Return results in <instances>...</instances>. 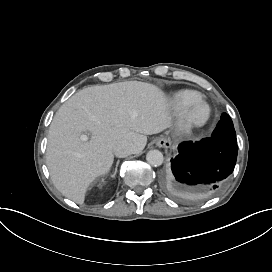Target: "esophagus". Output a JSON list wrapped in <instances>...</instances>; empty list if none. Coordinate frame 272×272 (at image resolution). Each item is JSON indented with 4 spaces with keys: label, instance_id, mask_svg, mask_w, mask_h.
I'll use <instances>...</instances> for the list:
<instances>
[{
    "label": "esophagus",
    "instance_id": "1",
    "mask_svg": "<svg viewBox=\"0 0 272 272\" xmlns=\"http://www.w3.org/2000/svg\"><path fill=\"white\" fill-rule=\"evenodd\" d=\"M155 144L159 148H169L171 146L170 140H168L165 136L158 137Z\"/></svg>",
    "mask_w": 272,
    "mask_h": 272
}]
</instances>
